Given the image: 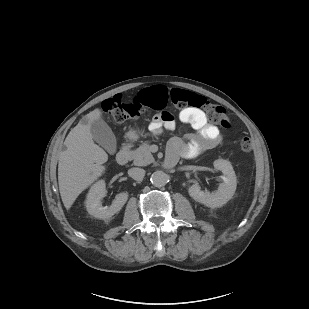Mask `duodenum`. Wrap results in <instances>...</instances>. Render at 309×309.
<instances>
[{
  "instance_id": "410a0bca",
  "label": "duodenum",
  "mask_w": 309,
  "mask_h": 309,
  "mask_svg": "<svg viewBox=\"0 0 309 309\" xmlns=\"http://www.w3.org/2000/svg\"><path fill=\"white\" fill-rule=\"evenodd\" d=\"M129 150H130L129 144L124 145V146L119 150V152H118L117 155H116V161H117V163H118L119 165H125V164L128 163V161H129V156H130V155H129ZM165 165H166L167 167H172V166L175 165V162L166 160V161H165Z\"/></svg>"
}]
</instances>
